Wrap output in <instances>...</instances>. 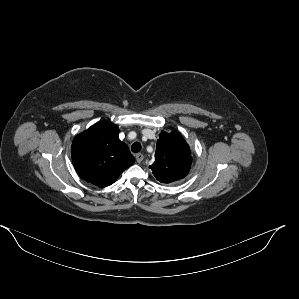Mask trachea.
Listing matches in <instances>:
<instances>
[{"label": "trachea", "mask_w": 299, "mask_h": 299, "mask_svg": "<svg viewBox=\"0 0 299 299\" xmlns=\"http://www.w3.org/2000/svg\"><path fill=\"white\" fill-rule=\"evenodd\" d=\"M131 150L134 153L140 152L141 150V144L139 142H134L131 146Z\"/></svg>", "instance_id": "1"}]
</instances>
